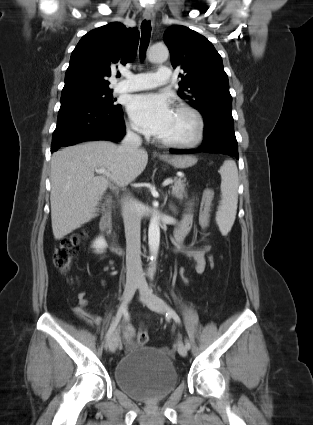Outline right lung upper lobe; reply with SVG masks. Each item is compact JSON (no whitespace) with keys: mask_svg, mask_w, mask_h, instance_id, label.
<instances>
[{"mask_svg":"<svg viewBox=\"0 0 313 425\" xmlns=\"http://www.w3.org/2000/svg\"><path fill=\"white\" fill-rule=\"evenodd\" d=\"M139 31L119 22L108 23L85 34L73 50L62 94L82 89L109 88L107 80L116 63L132 62Z\"/></svg>","mask_w":313,"mask_h":425,"instance_id":"1","label":"right lung upper lobe"}]
</instances>
